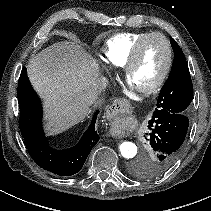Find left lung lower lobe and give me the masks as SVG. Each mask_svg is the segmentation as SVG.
<instances>
[{
  "label": "left lung lower lobe",
  "mask_w": 211,
  "mask_h": 211,
  "mask_svg": "<svg viewBox=\"0 0 211 211\" xmlns=\"http://www.w3.org/2000/svg\"><path fill=\"white\" fill-rule=\"evenodd\" d=\"M189 119L181 113L164 112L153 115L148 122L147 136L152 159L149 175L156 176L168 169L179 157L187 134Z\"/></svg>",
  "instance_id": "left-lung-lower-lobe-1"
}]
</instances>
